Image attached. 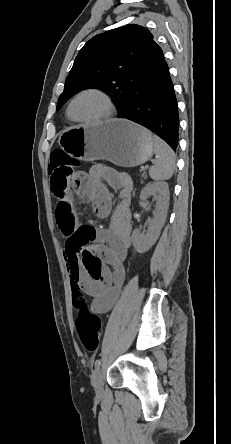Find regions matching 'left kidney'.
<instances>
[{
  "label": "left kidney",
  "instance_id": "obj_1",
  "mask_svg": "<svg viewBox=\"0 0 231 444\" xmlns=\"http://www.w3.org/2000/svg\"><path fill=\"white\" fill-rule=\"evenodd\" d=\"M156 196V208L154 218L149 222L147 232L140 233L134 230L132 233V243L138 253H145L157 241L161 229L165 223L169 205V186L166 182H154L147 184L140 193V200L143 202L149 196Z\"/></svg>",
  "mask_w": 231,
  "mask_h": 444
}]
</instances>
